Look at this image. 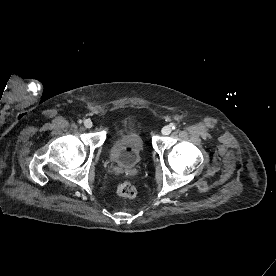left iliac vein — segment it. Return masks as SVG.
<instances>
[{
  "label": "left iliac vein",
  "mask_w": 276,
  "mask_h": 276,
  "mask_svg": "<svg viewBox=\"0 0 276 276\" xmlns=\"http://www.w3.org/2000/svg\"><path fill=\"white\" fill-rule=\"evenodd\" d=\"M172 131L171 126L167 125L162 128V134L163 135H169Z\"/></svg>",
  "instance_id": "left-iliac-vein-1"
}]
</instances>
